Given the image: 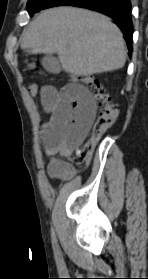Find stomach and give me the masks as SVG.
<instances>
[{
    "label": "stomach",
    "mask_w": 148,
    "mask_h": 279,
    "mask_svg": "<svg viewBox=\"0 0 148 279\" xmlns=\"http://www.w3.org/2000/svg\"><path fill=\"white\" fill-rule=\"evenodd\" d=\"M24 69L27 70V75H32L33 78H42L43 75H48V70L45 69V64H41L40 58H25Z\"/></svg>",
    "instance_id": "0dacf381"
}]
</instances>
